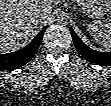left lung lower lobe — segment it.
Listing matches in <instances>:
<instances>
[{
	"mask_svg": "<svg viewBox=\"0 0 111 106\" xmlns=\"http://www.w3.org/2000/svg\"><path fill=\"white\" fill-rule=\"evenodd\" d=\"M70 31L76 49L86 60L98 65H103V66L111 65V52H98L89 48L76 35V33L73 31L72 28H70Z\"/></svg>",
	"mask_w": 111,
	"mask_h": 106,
	"instance_id": "1",
	"label": "left lung lower lobe"
}]
</instances>
